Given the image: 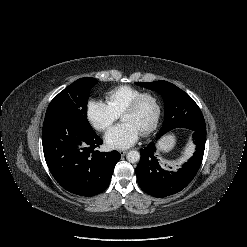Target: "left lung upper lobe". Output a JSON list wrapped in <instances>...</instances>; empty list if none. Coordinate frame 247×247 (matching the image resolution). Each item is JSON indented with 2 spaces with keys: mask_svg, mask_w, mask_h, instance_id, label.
Instances as JSON below:
<instances>
[{
  "mask_svg": "<svg viewBox=\"0 0 247 247\" xmlns=\"http://www.w3.org/2000/svg\"><path fill=\"white\" fill-rule=\"evenodd\" d=\"M159 93L164 100L165 120L158 138L176 128H206L203 114L194 100L183 90L167 81L135 82Z\"/></svg>",
  "mask_w": 247,
  "mask_h": 247,
  "instance_id": "left-lung-upper-lobe-1",
  "label": "left lung upper lobe"
}]
</instances>
